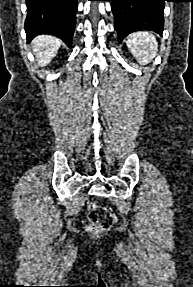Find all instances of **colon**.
I'll return each mask as SVG.
<instances>
[{
    "instance_id": "colon-1",
    "label": "colon",
    "mask_w": 193,
    "mask_h": 287,
    "mask_svg": "<svg viewBox=\"0 0 193 287\" xmlns=\"http://www.w3.org/2000/svg\"><path fill=\"white\" fill-rule=\"evenodd\" d=\"M88 230L92 233H101L111 227L113 215L106 208L94 202L88 204Z\"/></svg>"
}]
</instances>
